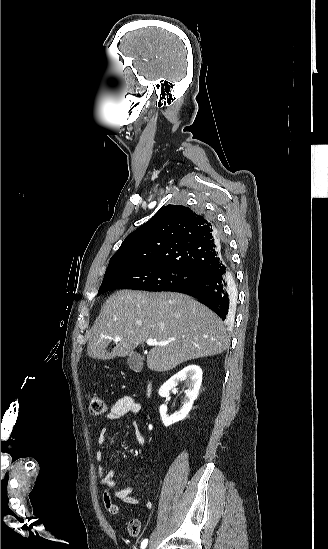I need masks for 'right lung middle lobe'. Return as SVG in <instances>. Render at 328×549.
Here are the masks:
<instances>
[{
	"label": "right lung middle lobe",
	"instance_id": "right-lung-middle-lobe-1",
	"mask_svg": "<svg viewBox=\"0 0 328 549\" xmlns=\"http://www.w3.org/2000/svg\"><path fill=\"white\" fill-rule=\"evenodd\" d=\"M198 271L150 262H128L105 273L98 295L117 288L170 291L201 278Z\"/></svg>",
	"mask_w": 328,
	"mask_h": 549
}]
</instances>
